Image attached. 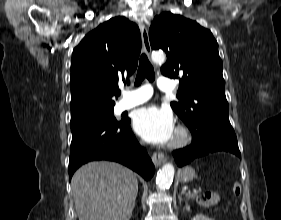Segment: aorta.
<instances>
[{"label":"aorta","instance_id":"obj_1","mask_svg":"<svg viewBox=\"0 0 281 220\" xmlns=\"http://www.w3.org/2000/svg\"><path fill=\"white\" fill-rule=\"evenodd\" d=\"M151 58L155 63H163L166 57L163 52H153ZM174 172L175 169L171 163L165 164L158 172L156 184L160 190H165L170 187L173 181Z\"/></svg>","mask_w":281,"mask_h":220}]
</instances>
